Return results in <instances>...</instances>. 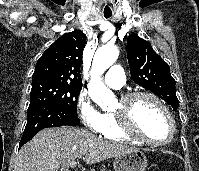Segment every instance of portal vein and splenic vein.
I'll return each instance as SVG.
<instances>
[{
    "mask_svg": "<svg viewBox=\"0 0 199 171\" xmlns=\"http://www.w3.org/2000/svg\"><path fill=\"white\" fill-rule=\"evenodd\" d=\"M76 165H77V162H76V161H72V162L69 163V166H70L71 168H74Z\"/></svg>",
    "mask_w": 199,
    "mask_h": 171,
    "instance_id": "obj_1",
    "label": "portal vein and splenic vein"
}]
</instances>
